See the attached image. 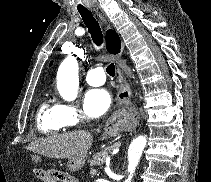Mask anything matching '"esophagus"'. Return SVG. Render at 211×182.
<instances>
[{
  "label": "esophagus",
  "mask_w": 211,
  "mask_h": 182,
  "mask_svg": "<svg viewBox=\"0 0 211 182\" xmlns=\"http://www.w3.org/2000/svg\"><path fill=\"white\" fill-rule=\"evenodd\" d=\"M97 14L99 18L101 19V21L103 23H106V20L104 19V17L100 13H97ZM130 97H131V91H130L129 85L125 81L121 80L119 82V90L116 95V102L120 105H129ZM138 122H139V118L137 116L134 122V125L137 126ZM112 123H113V120H112V117H110L105 124V128L107 129Z\"/></svg>",
  "instance_id": "esophagus-1"
}]
</instances>
